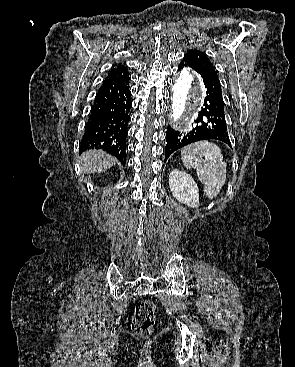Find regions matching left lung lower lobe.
<instances>
[{"label": "left lung lower lobe", "mask_w": 295, "mask_h": 367, "mask_svg": "<svg viewBox=\"0 0 295 367\" xmlns=\"http://www.w3.org/2000/svg\"><path fill=\"white\" fill-rule=\"evenodd\" d=\"M191 67L198 72L207 88L204 105L194 121L195 127L186 133H181L170 127L166 132L165 161L177 149L200 140H219L231 146L225 120L224 101L221 85L215 71L196 66L188 59H183L178 66Z\"/></svg>", "instance_id": "obj_1"}]
</instances>
